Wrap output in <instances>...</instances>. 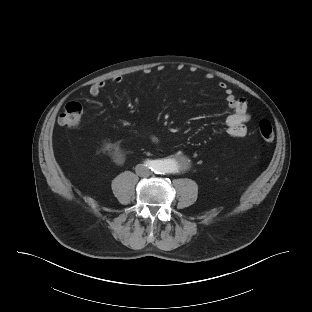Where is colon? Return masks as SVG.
Listing matches in <instances>:
<instances>
[{"label":"colon","mask_w":312,"mask_h":312,"mask_svg":"<svg viewBox=\"0 0 312 312\" xmlns=\"http://www.w3.org/2000/svg\"><path fill=\"white\" fill-rule=\"evenodd\" d=\"M82 106L80 103L72 101L66 104L64 111L60 114L58 122L67 128H76L79 126L82 116ZM261 138L266 142H272L274 131L268 120H261L258 125Z\"/></svg>","instance_id":"5ec220e1"}]
</instances>
